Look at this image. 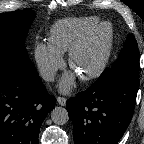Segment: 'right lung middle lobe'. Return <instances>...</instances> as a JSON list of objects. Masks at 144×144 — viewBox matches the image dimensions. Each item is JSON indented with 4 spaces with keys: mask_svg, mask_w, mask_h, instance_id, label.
Returning <instances> with one entry per match:
<instances>
[{
    "mask_svg": "<svg viewBox=\"0 0 144 144\" xmlns=\"http://www.w3.org/2000/svg\"><path fill=\"white\" fill-rule=\"evenodd\" d=\"M34 18L30 9L0 13V72L12 70L29 80L38 78L24 44Z\"/></svg>",
    "mask_w": 144,
    "mask_h": 144,
    "instance_id": "dd1d6c3e",
    "label": "right lung middle lobe"
}]
</instances>
